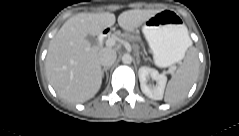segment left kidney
Segmentation results:
<instances>
[{
    "mask_svg": "<svg viewBox=\"0 0 239 136\" xmlns=\"http://www.w3.org/2000/svg\"><path fill=\"white\" fill-rule=\"evenodd\" d=\"M138 75L142 92L151 99L161 100L163 98L167 77L164 74H160L156 69L146 66L139 68ZM149 77L156 81V86L147 84Z\"/></svg>",
    "mask_w": 239,
    "mask_h": 136,
    "instance_id": "1",
    "label": "left kidney"
}]
</instances>
